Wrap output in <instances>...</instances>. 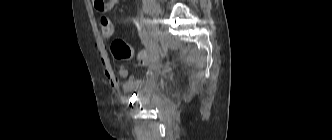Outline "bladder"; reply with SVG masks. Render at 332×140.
Returning <instances> with one entry per match:
<instances>
[{
	"label": "bladder",
	"instance_id": "obj_1",
	"mask_svg": "<svg viewBox=\"0 0 332 140\" xmlns=\"http://www.w3.org/2000/svg\"><path fill=\"white\" fill-rule=\"evenodd\" d=\"M154 89V88H153ZM153 90L147 91L145 93H143L142 95H140V101L142 102H149L152 96Z\"/></svg>",
	"mask_w": 332,
	"mask_h": 140
}]
</instances>
